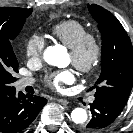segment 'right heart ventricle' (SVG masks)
I'll use <instances>...</instances> for the list:
<instances>
[{
	"label": "right heart ventricle",
	"mask_w": 133,
	"mask_h": 133,
	"mask_svg": "<svg viewBox=\"0 0 133 133\" xmlns=\"http://www.w3.org/2000/svg\"><path fill=\"white\" fill-rule=\"evenodd\" d=\"M86 32V26L74 19L61 21L52 28V35L69 48Z\"/></svg>",
	"instance_id": "right-heart-ventricle-1"
}]
</instances>
